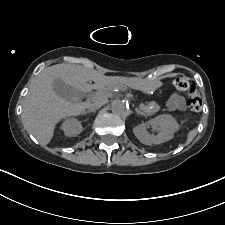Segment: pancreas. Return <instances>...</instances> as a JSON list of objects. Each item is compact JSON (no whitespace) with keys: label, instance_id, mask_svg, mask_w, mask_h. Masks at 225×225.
I'll list each match as a JSON object with an SVG mask.
<instances>
[{"label":"pancreas","instance_id":"pancreas-1","mask_svg":"<svg viewBox=\"0 0 225 225\" xmlns=\"http://www.w3.org/2000/svg\"><path fill=\"white\" fill-rule=\"evenodd\" d=\"M141 110L144 115L150 116L158 112L160 110V106L156 102L152 101L149 102L147 105H143V108H141Z\"/></svg>","mask_w":225,"mask_h":225}]
</instances>
